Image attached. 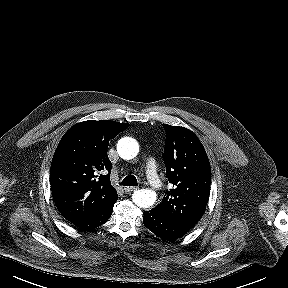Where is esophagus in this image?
<instances>
[{"label": "esophagus", "instance_id": "obj_1", "mask_svg": "<svg viewBox=\"0 0 288 288\" xmlns=\"http://www.w3.org/2000/svg\"><path fill=\"white\" fill-rule=\"evenodd\" d=\"M138 189V187H125L124 190L127 193H131L133 191H136Z\"/></svg>", "mask_w": 288, "mask_h": 288}]
</instances>
